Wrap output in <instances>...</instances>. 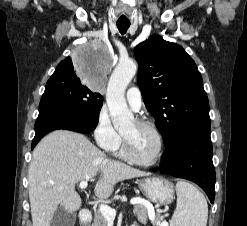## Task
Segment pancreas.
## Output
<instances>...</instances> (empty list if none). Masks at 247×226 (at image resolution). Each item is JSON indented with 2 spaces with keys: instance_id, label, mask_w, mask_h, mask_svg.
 <instances>
[{
  "instance_id": "1",
  "label": "pancreas",
  "mask_w": 247,
  "mask_h": 226,
  "mask_svg": "<svg viewBox=\"0 0 247 226\" xmlns=\"http://www.w3.org/2000/svg\"><path fill=\"white\" fill-rule=\"evenodd\" d=\"M135 216L137 217L138 221L142 224L147 223V208L145 205H136L133 210ZM160 222V216L157 215L154 220V224ZM92 226H108L107 219L102 215L100 211L95 212L94 222Z\"/></svg>"
}]
</instances>
